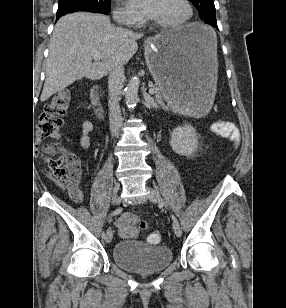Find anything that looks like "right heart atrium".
<instances>
[{
  "label": "right heart atrium",
  "instance_id": "d8ad5b80",
  "mask_svg": "<svg viewBox=\"0 0 286 308\" xmlns=\"http://www.w3.org/2000/svg\"><path fill=\"white\" fill-rule=\"evenodd\" d=\"M114 19L118 24L130 27H135L141 23V19L138 16L119 5L114 11Z\"/></svg>",
  "mask_w": 286,
  "mask_h": 308
}]
</instances>
